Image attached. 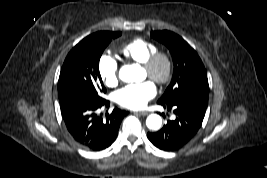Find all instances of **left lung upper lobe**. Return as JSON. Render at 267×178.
<instances>
[{"mask_svg": "<svg viewBox=\"0 0 267 178\" xmlns=\"http://www.w3.org/2000/svg\"><path fill=\"white\" fill-rule=\"evenodd\" d=\"M151 36L168 47L174 64L170 85L159 103H185L207 108L209 85L207 72L196 51L171 31H152Z\"/></svg>", "mask_w": 267, "mask_h": 178, "instance_id": "left-lung-upper-lobe-1", "label": "left lung upper lobe"}]
</instances>
